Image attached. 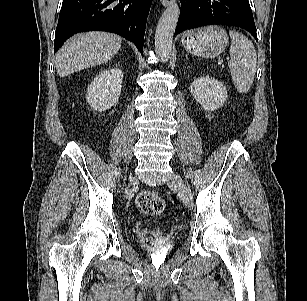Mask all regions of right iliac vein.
Instances as JSON below:
<instances>
[{"instance_id": "63e3f726", "label": "right iliac vein", "mask_w": 307, "mask_h": 301, "mask_svg": "<svg viewBox=\"0 0 307 301\" xmlns=\"http://www.w3.org/2000/svg\"><path fill=\"white\" fill-rule=\"evenodd\" d=\"M137 182H138V179L136 177H132L131 180H130V185L136 184ZM130 191H131L130 187L127 188V190H126V197L129 196Z\"/></svg>"}]
</instances>
